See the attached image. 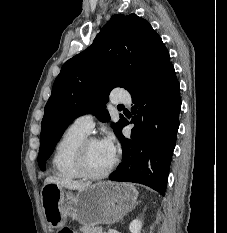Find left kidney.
<instances>
[{
	"label": "left kidney",
	"mask_w": 227,
	"mask_h": 233,
	"mask_svg": "<svg viewBox=\"0 0 227 233\" xmlns=\"http://www.w3.org/2000/svg\"><path fill=\"white\" fill-rule=\"evenodd\" d=\"M142 228V221L139 219L133 220L129 225V230L131 233H140Z\"/></svg>",
	"instance_id": "left-kidney-1"
}]
</instances>
